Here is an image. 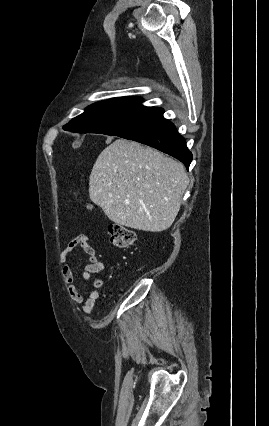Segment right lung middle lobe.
<instances>
[{
	"mask_svg": "<svg viewBox=\"0 0 269 426\" xmlns=\"http://www.w3.org/2000/svg\"><path fill=\"white\" fill-rule=\"evenodd\" d=\"M140 97L111 98L89 106L72 119L67 129L78 133L123 134L138 124L155 109L141 104Z\"/></svg>",
	"mask_w": 269,
	"mask_h": 426,
	"instance_id": "dd1d6c3e",
	"label": "right lung middle lobe"
}]
</instances>
